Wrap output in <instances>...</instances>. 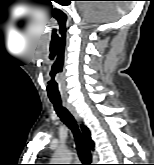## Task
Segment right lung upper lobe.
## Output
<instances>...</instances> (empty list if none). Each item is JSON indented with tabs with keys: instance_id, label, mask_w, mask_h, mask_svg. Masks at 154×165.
<instances>
[{
	"instance_id": "right-lung-upper-lobe-1",
	"label": "right lung upper lobe",
	"mask_w": 154,
	"mask_h": 165,
	"mask_svg": "<svg viewBox=\"0 0 154 165\" xmlns=\"http://www.w3.org/2000/svg\"><path fill=\"white\" fill-rule=\"evenodd\" d=\"M81 129H82V134L84 136V139H85L86 143L88 144V146L91 149H93L94 144H93V141L91 139L90 132H89L88 128L82 125Z\"/></svg>"
}]
</instances>
